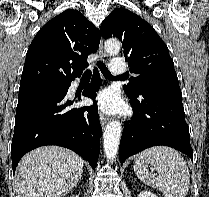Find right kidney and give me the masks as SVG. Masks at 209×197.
Returning a JSON list of instances; mask_svg holds the SVG:
<instances>
[{"instance_id":"1","label":"right kidney","mask_w":209,"mask_h":197,"mask_svg":"<svg viewBox=\"0 0 209 197\" xmlns=\"http://www.w3.org/2000/svg\"><path fill=\"white\" fill-rule=\"evenodd\" d=\"M70 197H79V195H72V196H70Z\"/></svg>"}]
</instances>
